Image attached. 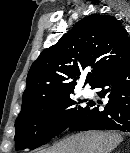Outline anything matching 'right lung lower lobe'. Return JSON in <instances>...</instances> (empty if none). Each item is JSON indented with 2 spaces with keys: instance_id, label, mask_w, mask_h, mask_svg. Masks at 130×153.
Wrapping results in <instances>:
<instances>
[{
  "instance_id": "right-lung-lower-lobe-1",
  "label": "right lung lower lobe",
  "mask_w": 130,
  "mask_h": 153,
  "mask_svg": "<svg viewBox=\"0 0 130 153\" xmlns=\"http://www.w3.org/2000/svg\"><path fill=\"white\" fill-rule=\"evenodd\" d=\"M93 88H102L98 95L108 99L104 110L89 101L71 122V131L114 129L130 132V60L103 75Z\"/></svg>"
}]
</instances>
